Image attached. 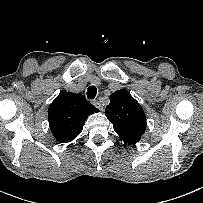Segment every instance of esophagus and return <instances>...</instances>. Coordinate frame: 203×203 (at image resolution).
<instances>
[{"label": "esophagus", "instance_id": "obj_1", "mask_svg": "<svg viewBox=\"0 0 203 203\" xmlns=\"http://www.w3.org/2000/svg\"><path fill=\"white\" fill-rule=\"evenodd\" d=\"M93 105H94L95 107H97L100 111L103 110V107H102V105H101V103H100L99 101L94 100V101H93Z\"/></svg>", "mask_w": 203, "mask_h": 203}]
</instances>
